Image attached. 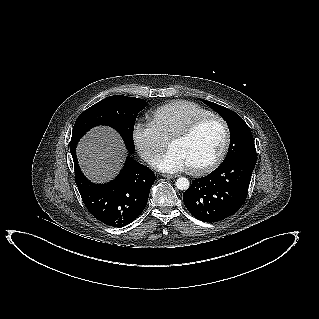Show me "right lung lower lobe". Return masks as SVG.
<instances>
[{
  "instance_id": "1",
  "label": "right lung lower lobe",
  "mask_w": 319,
  "mask_h": 319,
  "mask_svg": "<svg viewBox=\"0 0 319 319\" xmlns=\"http://www.w3.org/2000/svg\"><path fill=\"white\" fill-rule=\"evenodd\" d=\"M76 145L70 144L75 182L88 211L100 222L123 227L133 222L144 210L155 175L148 167L127 157L120 174L107 184L88 181L80 170Z\"/></svg>"
}]
</instances>
